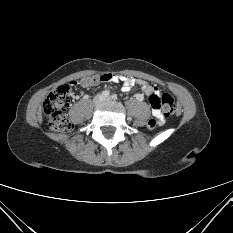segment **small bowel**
<instances>
[{
	"instance_id": "obj_1",
	"label": "small bowel",
	"mask_w": 233,
	"mask_h": 233,
	"mask_svg": "<svg viewBox=\"0 0 233 233\" xmlns=\"http://www.w3.org/2000/svg\"><path fill=\"white\" fill-rule=\"evenodd\" d=\"M96 80L97 81H101V82H114V83H122V90L124 92L129 91L134 85L138 84L141 86L143 92L149 96V100L153 97V96H159L160 95V91L159 89L154 86L153 84L143 81V80H136L133 78H128V77H124V76H118L115 74H97L96 75ZM67 85L70 88H78L79 86H83L84 85V80L83 79H77V78H73L70 79L67 82ZM137 100L142 101L144 96L142 93H138L136 95ZM151 105V104H150ZM152 107V114L153 116L156 118L158 125H163L165 123V118L163 116V114L161 113L160 109L157 107Z\"/></svg>"
}]
</instances>
